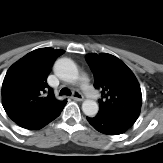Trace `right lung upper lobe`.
<instances>
[{"label": "right lung upper lobe", "mask_w": 163, "mask_h": 163, "mask_svg": "<svg viewBox=\"0 0 163 163\" xmlns=\"http://www.w3.org/2000/svg\"><path fill=\"white\" fill-rule=\"evenodd\" d=\"M63 53V50L40 48L9 68L2 85V103L11 119L64 107L66 101H58L47 84L53 62Z\"/></svg>", "instance_id": "right-lung-upper-lobe-1"}]
</instances>
